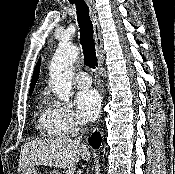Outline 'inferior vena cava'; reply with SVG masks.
<instances>
[{"label":"inferior vena cava","mask_w":175,"mask_h":174,"mask_svg":"<svg viewBox=\"0 0 175 174\" xmlns=\"http://www.w3.org/2000/svg\"><path fill=\"white\" fill-rule=\"evenodd\" d=\"M82 124H83V123H82ZM81 139H82V135L79 136L77 139H75V141H76L77 143H80V142H81Z\"/></svg>","instance_id":"602c4592"}]
</instances>
